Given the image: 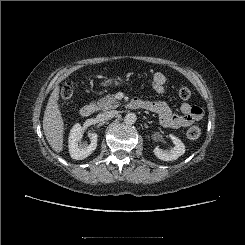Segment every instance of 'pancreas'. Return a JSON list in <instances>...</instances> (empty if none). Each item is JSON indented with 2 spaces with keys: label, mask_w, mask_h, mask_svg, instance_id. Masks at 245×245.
<instances>
[{
  "label": "pancreas",
  "mask_w": 245,
  "mask_h": 245,
  "mask_svg": "<svg viewBox=\"0 0 245 245\" xmlns=\"http://www.w3.org/2000/svg\"><path fill=\"white\" fill-rule=\"evenodd\" d=\"M119 105V101L111 94L106 95L96 103L97 109L102 111L116 109Z\"/></svg>",
  "instance_id": "cf45deb5"
}]
</instances>
